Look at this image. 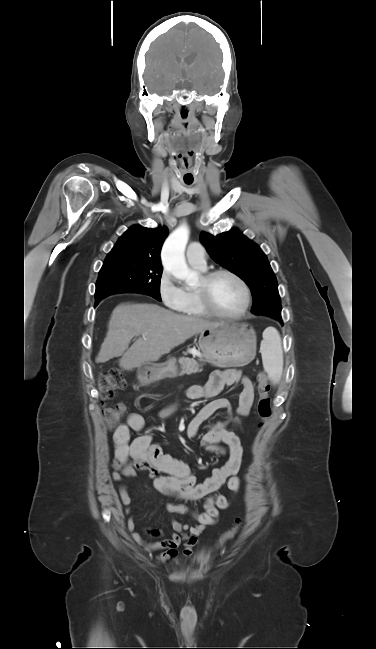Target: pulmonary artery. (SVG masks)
I'll return each mask as SVG.
<instances>
[{
	"mask_svg": "<svg viewBox=\"0 0 376 649\" xmlns=\"http://www.w3.org/2000/svg\"><path fill=\"white\" fill-rule=\"evenodd\" d=\"M186 257L189 264L195 267L205 268L206 257L203 245L198 242H192L186 251Z\"/></svg>",
	"mask_w": 376,
	"mask_h": 649,
	"instance_id": "e3ab8cb5",
	"label": "pulmonary artery"
}]
</instances>
